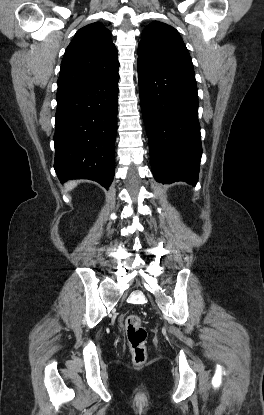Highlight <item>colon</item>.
<instances>
[{"mask_svg": "<svg viewBox=\"0 0 264 415\" xmlns=\"http://www.w3.org/2000/svg\"><path fill=\"white\" fill-rule=\"evenodd\" d=\"M125 327L133 361L136 365H142L147 359V331L142 325L141 318L136 314H129L126 317Z\"/></svg>", "mask_w": 264, "mask_h": 415, "instance_id": "colon-1", "label": "colon"}]
</instances>
